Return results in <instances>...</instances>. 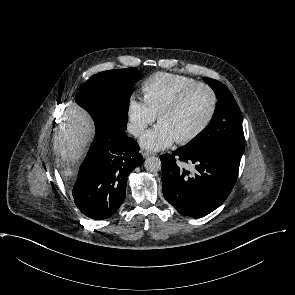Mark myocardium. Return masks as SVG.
<instances>
[{
    "mask_svg": "<svg viewBox=\"0 0 295 295\" xmlns=\"http://www.w3.org/2000/svg\"><path fill=\"white\" fill-rule=\"evenodd\" d=\"M197 88H205L210 93L212 97V107L206 120L193 133L177 140L180 144H187L196 140L212 124L219 106V97L216 90L206 82H196L184 89L180 94H178V96L171 103H169L158 115V120L159 122H161L163 117L179 110L180 107L187 100V98L190 96V94Z\"/></svg>",
    "mask_w": 295,
    "mask_h": 295,
    "instance_id": "obj_1",
    "label": "myocardium"
}]
</instances>
